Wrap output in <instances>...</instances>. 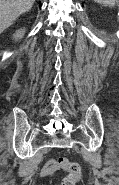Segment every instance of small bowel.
Here are the masks:
<instances>
[{
  "label": "small bowel",
  "mask_w": 119,
  "mask_h": 185,
  "mask_svg": "<svg viewBox=\"0 0 119 185\" xmlns=\"http://www.w3.org/2000/svg\"><path fill=\"white\" fill-rule=\"evenodd\" d=\"M59 169H60V166L58 164V161H56L55 159L51 158L43 166V168L41 170V175L43 177L54 176Z\"/></svg>",
  "instance_id": "1"
}]
</instances>
